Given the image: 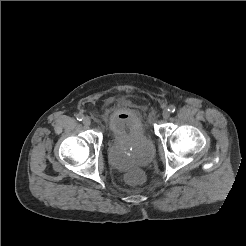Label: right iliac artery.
Returning a JSON list of instances; mask_svg holds the SVG:
<instances>
[{"instance_id":"right-iliac-artery-1","label":"right iliac artery","mask_w":246,"mask_h":246,"mask_svg":"<svg viewBox=\"0 0 246 246\" xmlns=\"http://www.w3.org/2000/svg\"><path fill=\"white\" fill-rule=\"evenodd\" d=\"M83 118H84V116H83L82 114H77V116H76V119H77L78 121H82Z\"/></svg>"}]
</instances>
